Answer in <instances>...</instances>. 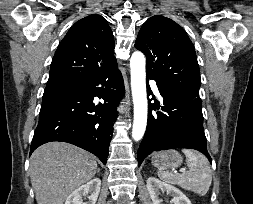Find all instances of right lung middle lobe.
Segmentation results:
<instances>
[{
  "label": "right lung middle lobe",
  "mask_w": 253,
  "mask_h": 204,
  "mask_svg": "<svg viewBox=\"0 0 253 204\" xmlns=\"http://www.w3.org/2000/svg\"><path fill=\"white\" fill-rule=\"evenodd\" d=\"M75 83L72 82H64V81H58V82H48L46 85V88L44 90V94L60 91L66 88L71 87Z\"/></svg>",
  "instance_id": "1"
}]
</instances>
